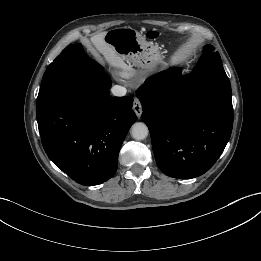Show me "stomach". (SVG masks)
Segmentation results:
<instances>
[{"mask_svg": "<svg viewBox=\"0 0 261 261\" xmlns=\"http://www.w3.org/2000/svg\"><path fill=\"white\" fill-rule=\"evenodd\" d=\"M105 42L123 59L133 65L151 69L161 62L156 45L146 41L145 37L131 27H120L106 32Z\"/></svg>", "mask_w": 261, "mask_h": 261, "instance_id": "0dacf381", "label": "stomach"}]
</instances>
